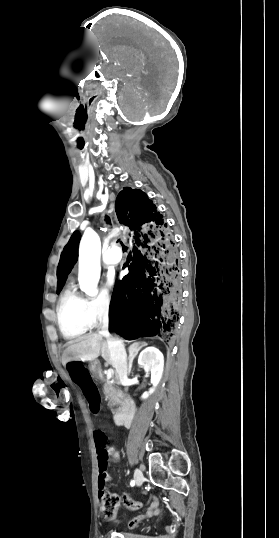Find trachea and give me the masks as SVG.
<instances>
[{"label":"trachea","instance_id":"1","mask_svg":"<svg viewBox=\"0 0 279 538\" xmlns=\"http://www.w3.org/2000/svg\"><path fill=\"white\" fill-rule=\"evenodd\" d=\"M105 221L107 222V224L111 223L109 216H105ZM118 242H119V240H118ZM120 243H121V245H123L122 242H120Z\"/></svg>","mask_w":279,"mask_h":538}]
</instances>
